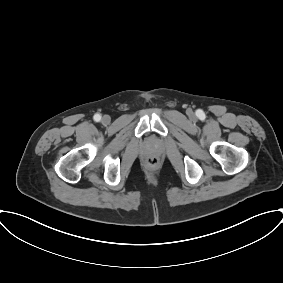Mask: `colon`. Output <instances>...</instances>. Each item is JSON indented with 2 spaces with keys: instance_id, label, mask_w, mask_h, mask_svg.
Returning a JSON list of instances; mask_svg holds the SVG:
<instances>
[{
  "instance_id": "colon-1",
  "label": "colon",
  "mask_w": 283,
  "mask_h": 283,
  "mask_svg": "<svg viewBox=\"0 0 283 283\" xmlns=\"http://www.w3.org/2000/svg\"><path fill=\"white\" fill-rule=\"evenodd\" d=\"M148 163L150 165H156L158 163V160H157V158L152 157V158L148 159Z\"/></svg>"
}]
</instances>
